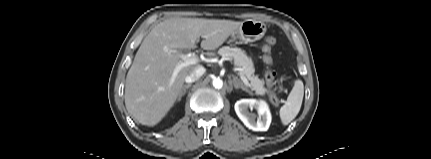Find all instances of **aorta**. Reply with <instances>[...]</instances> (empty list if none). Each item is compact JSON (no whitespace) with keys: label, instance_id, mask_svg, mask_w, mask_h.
Wrapping results in <instances>:
<instances>
[{"label":"aorta","instance_id":"obj_1","mask_svg":"<svg viewBox=\"0 0 431 159\" xmlns=\"http://www.w3.org/2000/svg\"><path fill=\"white\" fill-rule=\"evenodd\" d=\"M212 84L216 89H221L223 87V81L220 78H214Z\"/></svg>","mask_w":431,"mask_h":159}]
</instances>
